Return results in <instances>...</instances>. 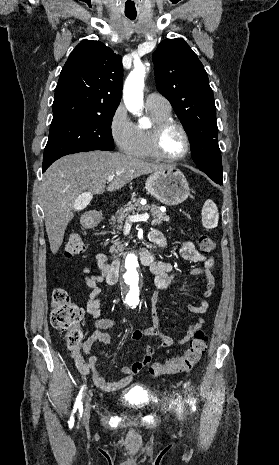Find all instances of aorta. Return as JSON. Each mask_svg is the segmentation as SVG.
<instances>
[{
    "label": "aorta",
    "instance_id": "762f6f07",
    "mask_svg": "<svg viewBox=\"0 0 279 465\" xmlns=\"http://www.w3.org/2000/svg\"><path fill=\"white\" fill-rule=\"evenodd\" d=\"M146 67L136 65L128 75L123 88V99L127 109L133 114H139L143 107V87ZM123 287L126 301L136 303L139 300L141 277L136 254H127L122 270Z\"/></svg>",
    "mask_w": 279,
    "mask_h": 465
}]
</instances>
